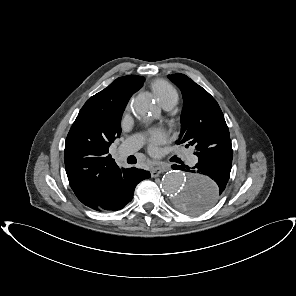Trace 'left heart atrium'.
I'll list each match as a JSON object with an SVG mask.
<instances>
[{
    "label": "left heart atrium",
    "mask_w": 296,
    "mask_h": 296,
    "mask_svg": "<svg viewBox=\"0 0 296 296\" xmlns=\"http://www.w3.org/2000/svg\"><path fill=\"white\" fill-rule=\"evenodd\" d=\"M168 139V132L162 127H156L148 133V146L151 151H155L156 147L163 144Z\"/></svg>",
    "instance_id": "obj_1"
}]
</instances>
